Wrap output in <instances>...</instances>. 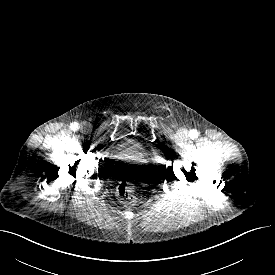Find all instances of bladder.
Returning a JSON list of instances; mask_svg holds the SVG:
<instances>
[{"mask_svg":"<svg viewBox=\"0 0 275 275\" xmlns=\"http://www.w3.org/2000/svg\"><path fill=\"white\" fill-rule=\"evenodd\" d=\"M155 157L142 140L125 136L115 142L107 152L105 168L116 179L141 180L151 174Z\"/></svg>","mask_w":275,"mask_h":275,"instance_id":"31cf9c89","label":"bladder"}]
</instances>
